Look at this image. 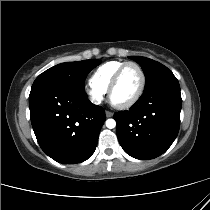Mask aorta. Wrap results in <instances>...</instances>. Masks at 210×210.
<instances>
[{
    "label": "aorta",
    "mask_w": 210,
    "mask_h": 210,
    "mask_svg": "<svg viewBox=\"0 0 210 210\" xmlns=\"http://www.w3.org/2000/svg\"><path fill=\"white\" fill-rule=\"evenodd\" d=\"M106 126H107V128H109V129L115 128V126H116V121H115L114 119H108V120L106 121Z\"/></svg>",
    "instance_id": "aorta-1"
}]
</instances>
